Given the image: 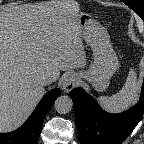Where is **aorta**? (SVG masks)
Returning a JSON list of instances; mask_svg holds the SVG:
<instances>
[{"label": "aorta", "mask_w": 144, "mask_h": 144, "mask_svg": "<svg viewBox=\"0 0 144 144\" xmlns=\"http://www.w3.org/2000/svg\"><path fill=\"white\" fill-rule=\"evenodd\" d=\"M54 108L59 114L69 113L73 108L72 99L67 95L60 96L55 100Z\"/></svg>", "instance_id": "aorta-1"}]
</instances>
